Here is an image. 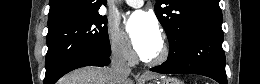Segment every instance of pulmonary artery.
<instances>
[{
  "label": "pulmonary artery",
  "mask_w": 260,
  "mask_h": 84,
  "mask_svg": "<svg viewBox=\"0 0 260 84\" xmlns=\"http://www.w3.org/2000/svg\"><path fill=\"white\" fill-rule=\"evenodd\" d=\"M126 3L132 7H140L143 4L142 0H127Z\"/></svg>",
  "instance_id": "pulmonary-artery-1"
}]
</instances>
